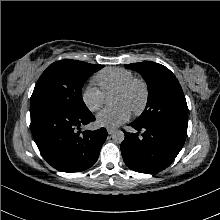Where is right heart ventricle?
<instances>
[{"mask_svg":"<svg viewBox=\"0 0 220 220\" xmlns=\"http://www.w3.org/2000/svg\"><path fill=\"white\" fill-rule=\"evenodd\" d=\"M134 77V74L128 69L110 67L98 72L94 77V81L98 84L104 95H109Z\"/></svg>","mask_w":220,"mask_h":220,"instance_id":"obj_1","label":"right heart ventricle"}]
</instances>
